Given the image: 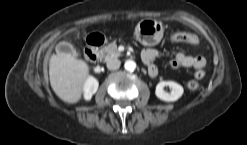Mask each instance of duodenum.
I'll use <instances>...</instances> for the list:
<instances>
[{
  "label": "duodenum",
  "mask_w": 247,
  "mask_h": 145,
  "mask_svg": "<svg viewBox=\"0 0 247 145\" xmlns=\"http://www.w3.org/2000/svg\"><path fill=\"white\" fill-rule=\"evenodd\" d=\"M105 42L104 36L100 34L90 35L87 39V47L85 49V57L91 62L95 63L99 57V47ZM156 70L155 66H150L149 71L154 72Z\"/></svg>",
  "instance_id": "410a0bca"
}]
</instances>
